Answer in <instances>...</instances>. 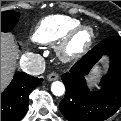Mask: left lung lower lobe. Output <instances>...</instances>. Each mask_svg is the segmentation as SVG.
<instances>
[{"instance_id": "0a47b994", "label": "left lung lower lobe", "mask_w": 121, "mask_h": 121, "mask_svg": "<svg viewBox=\"0 0 121 121\" xmlns=\"http://www.w3.org/2000/svg\"><path fill=\"white\" fill-rule=\"evenodd\" d=\"M103 55L110 56V68L101 79L100 90L91 91L85 80ZM66 87L60 111L69 121H102L121 106V37L104 39L61 76Z\"/></svg>"}]
</instances>
